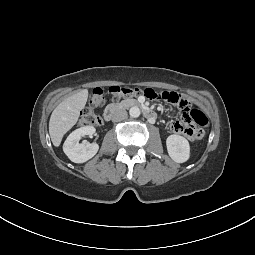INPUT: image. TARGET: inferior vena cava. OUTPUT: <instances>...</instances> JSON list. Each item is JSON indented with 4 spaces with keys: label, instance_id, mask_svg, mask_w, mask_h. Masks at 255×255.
Masks as SVG:
<instances>
[{
    "label": "inferior vena cava",
    "instance_id": "obj_1",
    "mask_svg": "<svg viewBox=\"0 0 255 255\" xmlns=\"http://www.w3.org/2000/svg\"><path fill=\"white\" fill-rule=\"evenodd\" d=\"M127 118V111L124 109H117L112 115L113 122H119Z\"/></svg>",
    "mask_w": 255,
    "mask_h": 255
}]
</instances>
